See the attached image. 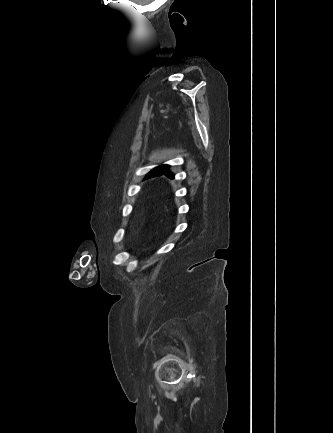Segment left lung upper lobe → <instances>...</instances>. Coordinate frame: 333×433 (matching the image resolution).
Segmentation results:
<instances>
[{
  "label": "left lung upper lobe",
  "instance_id": "left-lung-upper-lobe-1",
  "mask_svg": "<svg viewBox=\"0 0 333 433\" xmlns=\"http://www.w3.org/2000/svg\"><path fill=\"white\" fill-rule=\"evenodd\" d=\"M168 168H169L168 165H161V166H159V167H156L155 169H153V170L149 173V176L151 177V176L161 175V174H162L161 169L164 170V174H165V175H167V176H172V175L168 172Z\"/></svg>",
  "mask_w": 333,
  "mask_h": 433
}]
</instances>
